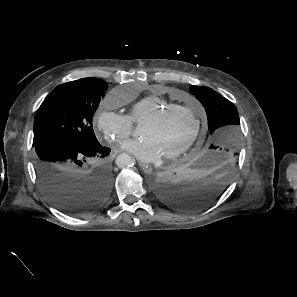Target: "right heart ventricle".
I'll use <instances>...</instances> for the list:
<instances>
[{"label":"right heart ventricle","instance_id":"right-heart-ventricle-1","mask_svg":"<svg viewBox=\"0 0 297 297\" xmlns=\"http://www.w3.org/2000/svg\"><path fill=\"white\" fill-rule=\"evenodd\" d=\"M173 105L175 104L163 97L150 95L138 100L132 105L129 118L131 122L143 124L149 117L153 116L161 109Z\"/></svg>","mask_w":297,"mask_h":297}]
</instances>
